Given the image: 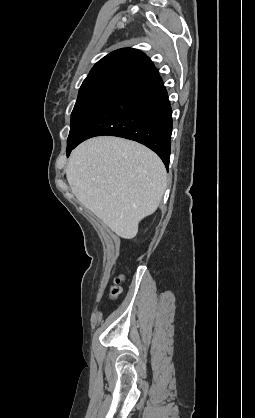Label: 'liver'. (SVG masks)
Here are the masks:
<instances>
[{
	"mask_svg": "<svg viewBox=\"0 0 255 418\" xmlns=\"http://www.w3.org/2000/svg\"><path fill=\"white\" fill-rule=\"evenodd\" d=\"M66 176L82 205L125 239L134 238L139 222L156 211L167 185L166 169L154 152L110 136L80 144Z\"/></svg>",
	"mask_w": 255,
	"mask_h": 418,
	"instance_id": "liver-1",
	"label": "liver"
}]
</instances>
